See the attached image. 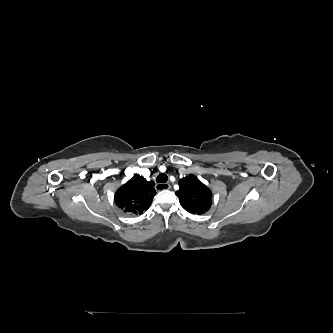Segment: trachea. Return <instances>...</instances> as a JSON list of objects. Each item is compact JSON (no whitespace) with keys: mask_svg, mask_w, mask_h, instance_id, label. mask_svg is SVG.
I'll return each mask as SVG.
<instances>
[{"mask_svg":"<svg viewBox=\"0 0 333 333\" xmlns=\"http://www.w3.org/2000/svg\"><path fill=\"white\" fill-rule=\"evenodd\" d=\"M167 180H168V177H167V175H166L165 173H161V174H159V175L157 176V178H156V181H157L158 183H166Z\"/></svg>","mask_w":333,"mask_h":333,"instance_id":"obj_1","label":"trachea"}]
</instances>
